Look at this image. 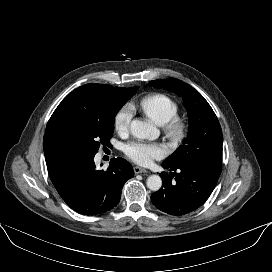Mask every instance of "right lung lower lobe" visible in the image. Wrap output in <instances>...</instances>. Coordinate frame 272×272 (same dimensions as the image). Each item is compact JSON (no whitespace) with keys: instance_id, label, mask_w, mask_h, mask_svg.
<instances>
[{"instance_id":"98d812e1","label":"right lung lower lobe","mask_w":272,"mask_h":272,"mask_svg":"<svg viewBox=\"0 0 272 272\" xmlns=\"http://www.w3.org/2000/svg\"><path fill=\"white\" fill-rule=\"evenodd\" d=\"M95 155L69 157L48 165L50 179L67 205L83 215H97L114 208L122 188L134 176L129 162L118 157L106 171L97 170Z\"/></svg>"}]
</instances>
